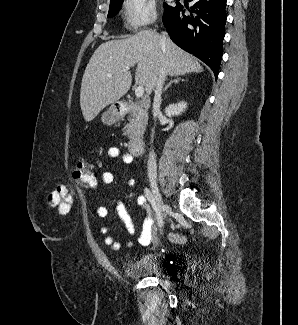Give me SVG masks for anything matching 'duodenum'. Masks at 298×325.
Returning <instances> with one entry per match:
<instances>
[{"mask_svg":"<svg viewBox=\"0 0 298 325\" xmlns=\"http://www.w3.org/2000/svg\"><path fill=\"white\" fill-rule=\"evenodd\" d=\"M150 105L149 98H143L139 105L123 103L118 106L117 111L120 115H125L133 110H140L142 108L148 107ZM145 148V139L143 136L138 135L133 137L129 142L130 153L134 156H138L143 153Z\"/></svg>","mask_w":298,"mask_h":325,"instance_id":"obj_1","label":"duodenum"}]
</instances>
